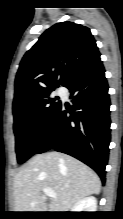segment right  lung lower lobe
Masks as SVG:
<instances>
[{
    "mask_svg": "<svg viewBox=\"0 0 123 219\" xmlns=\"http://www.w3.org/2000/svg\"><path fill=\"white\" fill-rule=\"evenodd\" d=\"M64 87L70 90L73 105L61 103L36 153L53 148L71 155L94 169L104 183L111 122L108 84L100 57L74 74Z\"/></svg>",
    "mask_w": 123,
    "mask_h": 219,
    "instance_id": "right-lung-lower-lobe-1",
    "label": "right lung lower lobe"
}]
</instances>
